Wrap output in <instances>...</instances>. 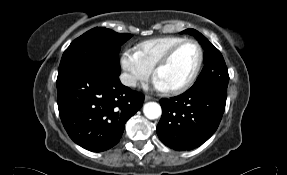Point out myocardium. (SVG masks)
<instances>
[{
	"instance_id": "f54148a6",
	"label": "myocardium",
	"mask_w": 287,
	"mask_h": 175,
	"mask_svg": "<svg viewBox=\"0 0 287 175\" xmlns=\"http://www.w3.org/2000/svg\"><path fill=\"white\" fill-rule=\"evenodd\" d=\"M188 43H193L197 46L198 52H199L198 63L196 65V68H195L194 72L192 73L191 77L184 84H182L181 86H178L176 88L166 89V91L171 95H179V94L186 92L196 82V80H197V78L201 72L203 62H204V50H203L201 44L195 39H185L182 42L174 45L171 49H169L166 52V54L157 62V64L154 67V71H153L154 77L157 78L158 72L172 60L174 55L177 53V51L181 47H183L184 45H186Z\"/></svg>"
}]
</instances>
